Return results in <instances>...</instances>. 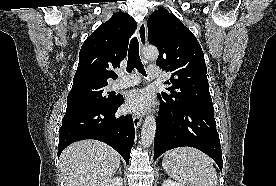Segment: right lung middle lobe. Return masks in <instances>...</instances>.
Returning a JSON list of instances; mask_svg holds the SVG:
<instances>
[{
	"label": "right lung middle lobe",
	"mask_w": 276,
	"mask_h": 186,
	"mask_svg": "<svg viewBox=\"0 0 276 186\" xmlns=\"http://www.w3.org/2000/svg\"><path fill=\"white\" fill-rule=\"evenodd\" d=\"M104 85H83L71 89L67 97V111L76 109L110 106L117 97L106 96Z\"/></svg>",
	"instance_id": "right-lung-middle-lobe-1"
}]
</instances>
